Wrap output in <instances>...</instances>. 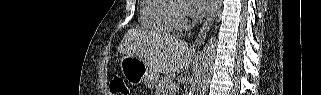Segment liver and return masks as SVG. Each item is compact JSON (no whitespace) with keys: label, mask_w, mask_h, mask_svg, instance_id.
<instances>
[{"label":"liver","mask_w":321,"mask_h":95,"mask_svg":"<svg viewBox=\"0 0 321 95\" xmlns=\"http://www.w3.org/2000/svg\"><path fill=\"white\" fill-rule=\"evenodd\" d=\"M153 38L152 46L148 39ZM118 52L135 56L160 73H181L192 62L194 49L180 39L169 35H153L141 28H131L121 41Z\"/></svg>","instance_id":"obj_1"}]
</instances>
